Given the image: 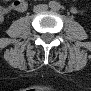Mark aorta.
Here are the masks:
<instances>
[{"mask_svg":"<svg viewBox=\"0 0 91 91\" xmlns=\"http://www.w3.org/2000/svg\"><path fill=\"white\" fill-rule=\"evenodd\" d=\"M50 8L53 10H59L60 9V4L56 1L50 2Z\"/></svg>","mask_w":91,"mask_h":91,"instance_id":"1","label":"aorta"}]
</instances>
